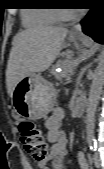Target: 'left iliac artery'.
<instances>
[{"label": "left iliac artery", "instance_id": "obj_1", "mask_svg": "<svg viewBox=\"0 0 104 169\" xmlns=\"http://www.w3.org/2000/svg\"><path fill=\"white\" fill-rule=\"evenodd\" d=\"M88 145H89L90 150L96 151V149H97V141H96V139L89 138L88 139Z\"/></svg>", "mask_w": 104, "mask_h": 169}]
</instances>
